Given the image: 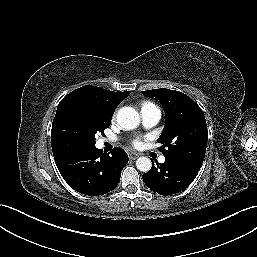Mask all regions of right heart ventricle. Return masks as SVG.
Instances as JSON below:
<instances>
[{"label": "right heart ventricle", "instance_id": "e07e8e85", "mask_svg": "<svg viewBox=\"0 0 257 257\" xmlns=\"http://www.w3.org/2000/svg\"><path fill=\"white\" fill-rule=\"evenodd\" d=\"M147 108H157V106L151 101H143L140 104L141 111L144 110V109H147Z\"/></svg>", "mask_w": 257, "mask_h": 257}]
</instances>
